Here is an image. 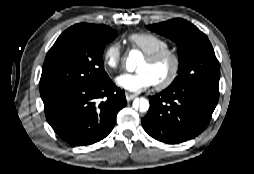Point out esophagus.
<instances>
[{"label":"esophagus","instance_id":"obj_1","mask_svg":"<svg viewBox=\"0 0 254 174\" xmlns=\"http://www.w3.org/2000/svg\"><path fill=\"white\" fill-rule=\"evenodd\" d=\"M136 97H137V95H135V94L126 93V100H127V101H131V100H133V99L136 98Z\"/></svg>","mask_w":254,"mask_h":174}]
</instances>
